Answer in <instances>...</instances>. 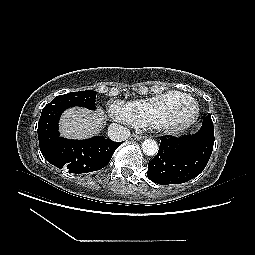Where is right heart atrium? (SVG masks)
<instances>
[{
	"label": "right heart atrium",
	"instance_id": "1",
	"mask_svg": "<svg viewBox=\"0 0 255 255\" xmlns=\"http://www.w3.org/2000/svg\"><path fill=\"white\" fill-rule=\"evenodd\" d=\"M108 110H109V113L113 117L123 121V115H124V104L123 103L113 102V103L109 104Z\"/></svg>",
	"mask_w": 255,
	"mask_h": 255
}]
</instances>
